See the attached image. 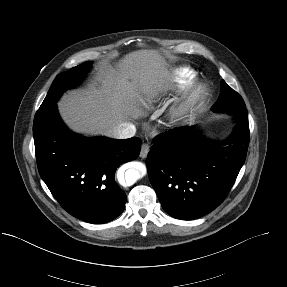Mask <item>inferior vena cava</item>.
I'll list each match as a JSON object with an SVG mask.
<instances>
[{"mask_svg": "<svg viewBox=\"0 0 287 287\" xmlns=\"http://www.w3.org/2000/svg\"><path fill=\"white\" fill-rule=\"evenodd\" d=\"M136 133V127L130 122H122L111 131V137L116 139L131 138Z\"/></svg>", "mask_w": 287, "mask_h": 287, "instance_id": "inferior-vena-cava-1", "label": "inferior vena cava"}]
</instances>
